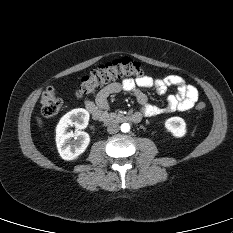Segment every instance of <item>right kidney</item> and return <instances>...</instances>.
<instances>
[{
	"instance_id": "1",
	"label": "right kidney",
	"mask_w": 233,
	"mask_h": 233,
	"mask_svg": "<svg viewBox=\"0 0 233 233\" xmlns=\"http://www.w3.org/2000/svg\"><path fill=\"white\" fill-rule=\"evenodd\" d=\"M89 122V113L83 108L73 109L66 113L56 127V145L62 159L73 160L82 154L90 143V136L83 131ZM75 126V132L68 128ZM74 140L71 141V139Z\"/></svg>"
}]
</instances>
